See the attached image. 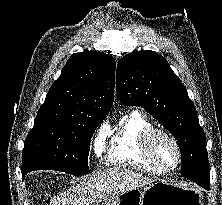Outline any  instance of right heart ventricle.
Segmentation results:
<instances>
[{
	"instance_id": "e07e8e85",
	"label": "right heart ventricle",
	"mask_w": 222,
	"mask_h": 205,
	"mask_svg": "<svg viewBox=\"0 0 222 205\" xmlns=\"http://www.w3.org/2000/svg\"><path fill=\"white\" fill-rule=\"evenodd\" d=\"M152 127L150 121L141 113H130L112 136L107 153L108 161L152 174H162L146 160L141 149L142 134Z\"/></svg>"
}]
</instances>
